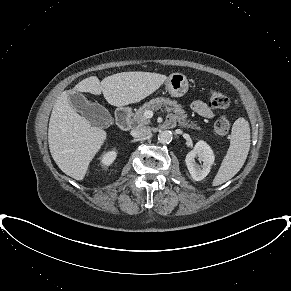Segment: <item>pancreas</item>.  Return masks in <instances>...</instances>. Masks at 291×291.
<instances>
[{"label": "pancreas", "instance_id": "pancreas-1", "mask_svg": "<svg viewBox=\"0 0 291 291\" xmlns=\"http://www.w3.org/2000/svg\"><path fill=\"white\" fill-rule=\"evenodd\" d=\"M165 107L166 111H172L177 118L179 126L187 127L192 129H199V127L192 121L187 120V115L182 109V106L177 104L175 100H170L169 98L158 97L150 100L149 102L143 104L133 115L132 121L139 126L146 125L150 123V120L144 117V112L147 110H159Z\"/></svg>", "mask_w": 291, "mask_h": 291}]
</instances>
